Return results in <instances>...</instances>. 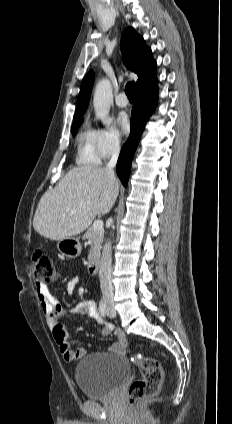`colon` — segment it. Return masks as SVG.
Segmentation results:
<instances>
[{
	"mask_svg": "<svg viewBox=\"0 0 232 424\" xmlns=\"http://www.w3.org/2000/svg\"><path fill=\"white\" fill-rule=\"evenodd\" d=\"M33 270L36 280L54 282L60 274L53 258L41 251L33 254ZM135 365L144 372V377L132 382L128 390V401L131 405L137 401L156 395L161 387L163 373L160 363L150 357L135 354L132 358Z\"/></svg>",
	"mask_w": 232,
	"mask_h": 424,
	"instance_id": "colon-1",
	"label": "colon"
}]
</instances>
